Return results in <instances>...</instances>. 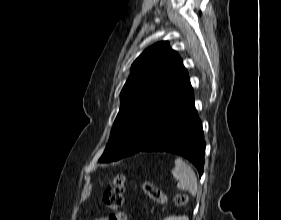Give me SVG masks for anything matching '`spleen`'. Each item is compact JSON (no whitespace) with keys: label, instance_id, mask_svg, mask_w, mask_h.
I'll return each instance as SVG.
<instances>
[{"label":"spleen","instance_id":"1","mask_svg":"<svg viewBox=\"0 0 281 220\" xmlns=\"http://www.w3.org/2000/svg\"><path fill=\"white\" fill-rule=\"evenodd\" d=\"M173 176L178 180L177 187L187 190L190 194L198 192L197 177L193 169L181 158L175 159V167L172 169Z\"/></svg>","mask_w":281,"mask_h":220}]
</instances>
